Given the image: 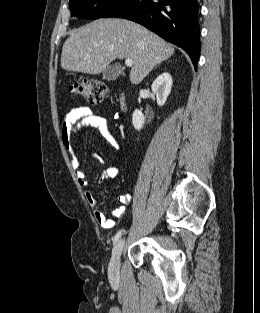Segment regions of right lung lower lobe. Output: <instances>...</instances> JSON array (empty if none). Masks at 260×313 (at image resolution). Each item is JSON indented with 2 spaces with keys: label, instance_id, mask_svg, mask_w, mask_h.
Returning a JSON list of instances; mask_svg holds the SVG:
<instances>
[{
  "label": "right lung lower lobe",
  "instance_id": "right-lung-lower-lobe-1",
  "mask_svg": "<svg viewBox=\"0 0 260 313\" xmlns=\"http://www.w3.org/2000/svg\"><path fill=\"white\" fill-rule=\"evenodd\" d=\"M197 0H123L103 17L137 22L181 47L196 68L200 52Z\"/></svg>",
  "mask_w": 260,
  "mask_h": 313
}]
</instances>
